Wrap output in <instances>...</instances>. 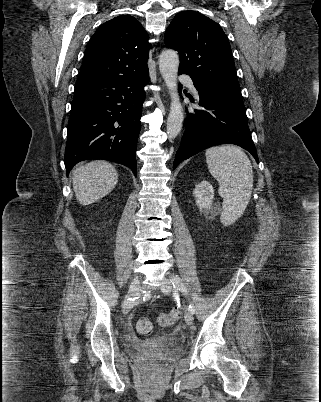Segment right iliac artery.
<instances>
[{"instance_id":"82829eb1","label":"right iliac artery","mask_w":321,"mask_h":402,"mask_svg":"<svg viewBox=\"0 0 321 402\" xmlns=\"http://www.w3.org/2000/svg\"><path fill=\"white\" fill-rule=\"evenodd\" d=\"M135 299H136V298H134V299H128V300H130V301H131V300H132V301H134Z\"/></svg>"}]
</instances>
